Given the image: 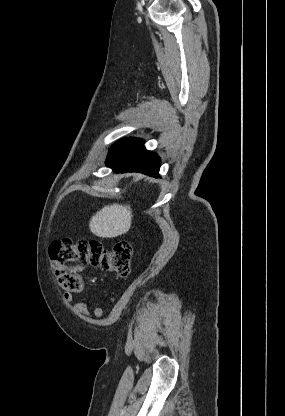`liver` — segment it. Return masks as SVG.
Here are the masks:
<instances>
[{
    "instance_id": "6515ba94",
    "label": "liver",
    "mask_w": 285,
    "mask_h": 416,
    "mask_svg": "<svg viewBox=\"0 0 285 416\" xmlns=\"http://www.w3.org/2000/svg\"><path fill=\"white\" fill-rule=\"evenodd\" d=\"M132 224L130 206H104L89 222L90 232L98 238H117L129 232Z\"/></svg>"
}]
</instances>
